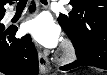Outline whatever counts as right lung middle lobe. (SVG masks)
Listing matches in <instances>:
<instances>
[{
	"instance_id": "dd1d6c3e",
	"label": "right lung middle lobe",
	"mask_w": 107,
	"mask_h": 75,
	"mask_svg": "<svg viewBox=\"0 0 107 75\" xmlns=\"http://www.w3.org/2000/svg\"><path fill=\"white\" fill-rule=\"evenodd\" d=\"M3 16H4V14H0V20H2ZM4 30H5L4 25L0 23V31L2 32Z\"/></svg>"
}]
</instances>
